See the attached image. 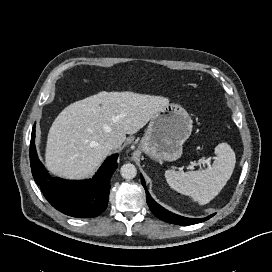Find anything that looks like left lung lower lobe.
Masks as SVG:
<instances>
[{"mask_svg": "<svg viewBox=\"0 0 272 272\" xmlns=\"http://www.w3.org/2000/svg\"><path fill=\"white\" fill-rule=\"evenodd\" d=\"M141 181L146 191V200H147L148 206L150 207V210L152 211V213L160 220H163L165 222L172 223V224H177V225H192V224L206 221L214 215L213 214L205 218L195 219V218H186V217H182L177 214H174L166 210L165 208H163L162 206H160L158 203L154 201V199L150 196L146 188L143 176H141Z\"/></svg>", "mask_w": 272, "mask_h": 272, "instance_id": "0a47b994", "label": "left lung lower lobe"}]
</instances>
